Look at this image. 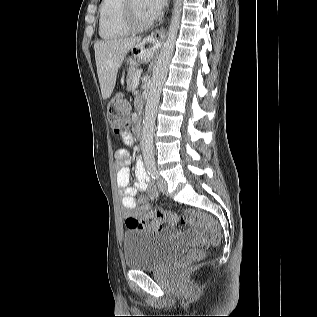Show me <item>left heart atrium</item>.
<instances>
[{
    "mask_svg": "<svg viewBox=\"0 0 317 317\" xmlns=\"http://www.w3.org/2000/svg\"><path fill=\"white\" fill-rule=\"evenodd\" d=\"M151 19H155L164 8L167 0H144Z\"/></svg>",
    "mask_w": 317,
    "mask_h": 317,
    "instance_id": "39dd6f15",
    "label": "left heart atrium"
}]
</instances>
